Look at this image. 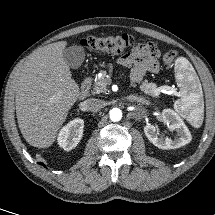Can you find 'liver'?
<instances>
[{"label":"liver","mask_w":215,"mask_h":215,"mask_svg":"<svg viewBox=\"0 0 215 215\" xmlns=\"http://www.w3.org/2000/svg\"><path fill=\"white\" fill-rule=\"evenodd\" d=\"M66 45L59 41L37 49L14 74L18 126L24 139L37 148L55 142L80 95L62 55Z\"/></svg>","instance_id":"liver-1"}]
</instances>
